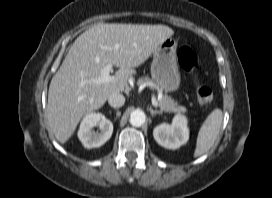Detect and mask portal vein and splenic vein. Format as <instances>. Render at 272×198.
I'll return each mask as SVG.
<instances>
[{
  "instance_id": "18ae733b",
  "label": "portal vein and splenic vein",
  "mask_w": 272,
  "mask_h": 198,
  "mask_svg": "<svg viewBox=\"0 0 272 198\" xmlns=\"http://www.w3.org/2000/svg\"><path fill=\"white\" fill-rule=\"evenodd\" d=\"M120 47L119 44L113 45L112 49L113 50H118ZM113 70V65L112 64H107L102 70L101 74L98 78L94 79L93 82L96 84H102V83H110L114 82V77L110 75V72ZM152 105L154 107L158 106V102L155 97H152Z\"/></svg>"
}]
</instances>
